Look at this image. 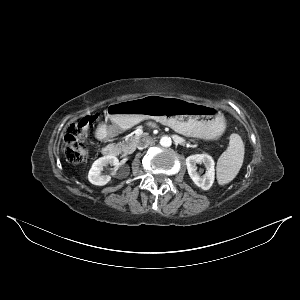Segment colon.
<instances>
[{
	"instance_id": "5ec220e1",
	"label": "colon",
	"mask_w": 300,
	"mask_h": 300,
	"mask_svg": "<svg viewBox=\"0 0 300 300\" xmlns=\"http://www.w3.org/2000/svg\"><path fill=\"white\" fill-rule=\"evenodd\" d=\"M94 117L85 116L72 123L64 136V153L70 163H81L87 156L88 150L84 140Z\"/></svg>"
}]
</instances>
